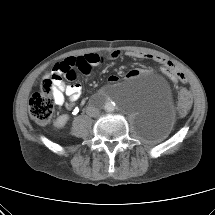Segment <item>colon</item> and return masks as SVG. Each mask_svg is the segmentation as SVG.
Returning a JSON list of instances; mask_svg holds the SVG:
<instances>
[{
	"label": "colon",
	"instance_id": "colon-1",
	"mask_svg": "<svg viewBox=\"0 0 215 215\" xmlns=\"http://www.w3.org/2000/svg\"><path fill=\"white\" fill-rule=\"evenodd\" d=\"M88 68L84 65L80 67V71H87ZM168 75L175 80H183L184 74L177 70L175 67L168 65ZM62 77L73 79L76 77V69L73 65L65 61L56 67L55 72L49 78H46L42 82L40 91L33 94L30 100V115L38 123H47L54 112L55 98L53 94L54 80L61 79ZM190 106V97L187 92H183L179 99L178 112L180 115H184Z\"/></svg>",
	"mask_w": 215,
	"mask_h": 215
}]
</instances>
